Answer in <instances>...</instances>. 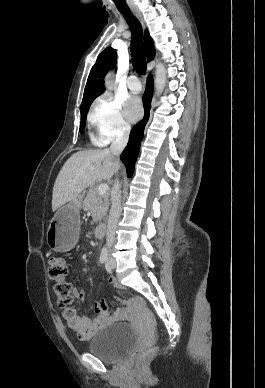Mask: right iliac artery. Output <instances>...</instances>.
Instances as JSON below:
<instances>
[{"mask_svg": "<svg viewBox=\"0 0 265 388\" xmlns=\"http://www.w3.org/2000/svg\"><path fill=\"white\" fill-rule=\"evenodd\" d=\"M100 262L106 263L108 262V252L106 248H103L100 255Z\"/></svg>", "mask_w": 265, "mask_h": 388, "instance_id": "82829eb1", "label": "right iliac artery"}]
</instances>
